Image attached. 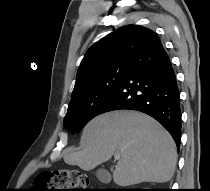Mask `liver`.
Instances as JSON below:
<instances>
[{
  "instance_id": "obj_1",
  "label": "liver",
  "mask_w": 210,
  "mask_h": 191,
  "mask_svg": "<svg viewBox=\"0 0 210 191\" xmlns=\"http://www.w3.org/2000/svg\"><path fill=\"white\" fill-rule=\"evenodd\" d=\"M82 149L64 155L69 165L89 171L120 154L114 182L122 187L171 180L177 162L171 135L153 118L136 111L116 110L92 119L81 136Z\"/></svg>"
}]
</instances>
